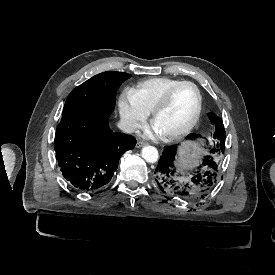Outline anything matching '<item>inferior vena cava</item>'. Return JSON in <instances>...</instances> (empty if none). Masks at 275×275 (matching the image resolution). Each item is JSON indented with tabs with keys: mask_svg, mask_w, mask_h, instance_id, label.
Here are the masks:
<instances>
[{
	"mask_svg": "<svg viewBox=\"0 0 275 275\" xmlns=\"http://www.w3.org/2000/svg\"><path fill=\"white\" fill-rule=\"evenodd\" d=\"M120 126L126 133H132L136 130V125L132 123L121 122Z\"/></svg>",
	"mask_w": 275,
	"mask_h": 275,
	"instance_id": "obj_1",
	"label": "inferior vena cava"
}]
</instances>
